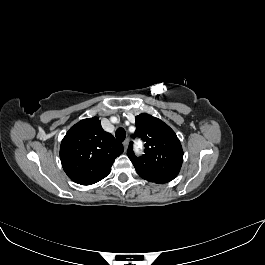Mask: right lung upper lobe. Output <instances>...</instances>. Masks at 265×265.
<instances>
[{"instance_id":"1","label":"right lung upper lobe","mask_w":265,"mask_h":265,"mask_svg":"<svg viewBox=\"0 0 265 265\" xmlns=\"http://www.w3.org/2000/svg\"><path fill=\"white\" fill-rule=\"evenodd\" d=\"M123 151V145L102 129L97 117H92L79 121L66 133L60 159L72 181L91 185L111 172L114 160Z\"/></svg>"}]
</instances>
